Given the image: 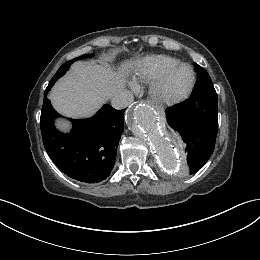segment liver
<instances>
[{"mask_svg":"<svg viewBox=\"0 0 260 260\" xmlns=\"http://www.w3.org/2000/svg\"><path fill=\"white\" fill-rule=\"evenodd\" d=\"M133 64L125 62L116 71L107 62L74 63L70 72L50 92L53 107L60 114L72 118L92 116L105 101L125 88ZM56 126L64 132L70 129V124L63 120H58Z\"/></svg>","mask_w":260,"mask_h":260,"instance_id":"6515ba94","label":"liver"}]
</instances>
